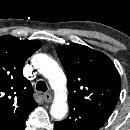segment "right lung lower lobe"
Masks as SVG:
<instances>
[{
    "mask_svg": "<svg viewBox=\"0 0 130 130\" xmlns=\"http://www.w3.org/2000/svg\"><path fill=\"white\" fill-rule=\"evenodd\" d=\"M25 120L22 121L21 123L15 125L14 127L8 129V130H24V128H25Z\"/></svg>",
    "mask_w": 130,
    "mask_h": 130,
    "instance_id": "1",
    "label": "right lung lower lobe"
}]
</instances>
